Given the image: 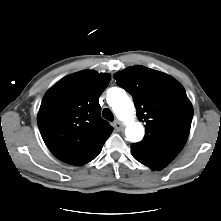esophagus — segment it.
Returning a JSON list of instances; mask_svg holds the SVG:
<instances>
[{
    "instance_id": "1",
    "label": "esophagus",
    "mask_w": 221,
    "mask_h": 221,
    "mask_svg": "<svg viewBox=\"0 0 221 221\" xmlns=\"http://www.w3.org/2000/svg\"><path fill=\"white\" fill-rule=\"evenodd\" d=\"M113 126L116 130H121L122 129V123L119 120H115L113 123Z\"/></svg>"
}]
</instances>
